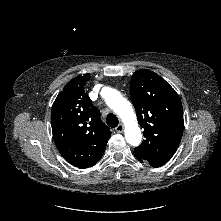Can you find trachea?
I'll list each match as a JSON object with an SVG mask.
<instances>
[{
  "instance_id": "trachea-1",
  "label": "trachea",
  "mask_w": 221,
  "mask_h": 221,
  "mask_svg": "<svg viewBox=\"0 0 221 221\" xmlns=\"http://www.w3.org/2000/svg\"><path fill=\"white\" fill-rule=\"evenodd\" d=\"M106 122L109 127L114 128L118 125L119 120L114 114L110 113L107 115Z\"/></svg>"
}]
</instances>
